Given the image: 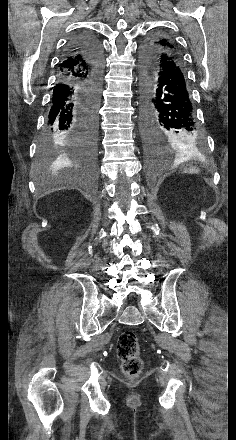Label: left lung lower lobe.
<instances>
[{"instance_id": "0a47b994", "label": "left lung lower lobe", "mask_w": 236, "mask_h": 440, "mask_svg": "<svg viewBox=\"0 0 236 440\" xmlns=\"http://www.w3.org/2000/svg\"><path fill=\"white\" fill-rule=\"evenodd\" d=\"M141 131L149 154L203 141L181 57L142 61Z\"/></svg>"}]
</instances>
